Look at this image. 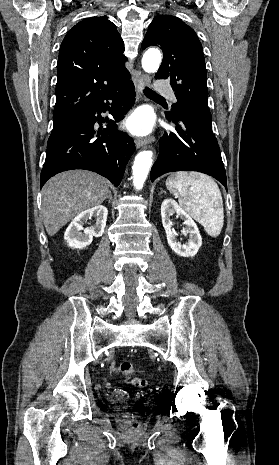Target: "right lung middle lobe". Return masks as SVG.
<instances>
[{
	"label": "right lung middle lobe",
	"mask_w": 279,
	"mask_h": 465,
	"mask_svg": "<svg viewBox=\"0 0 279 465\" xmlns=\"http://www.w3.org/2000/svg\"><path fill=\"white\" fill-rule=\"evenodd\" d=\"M70 124L71 121L60 125H54L52 133L48 139L47 147L51 146L58 139V137L70 126Z\"/></svg>",
	"instance_id": "obj_1"
}]
</instances>
